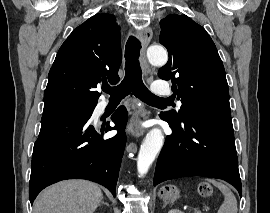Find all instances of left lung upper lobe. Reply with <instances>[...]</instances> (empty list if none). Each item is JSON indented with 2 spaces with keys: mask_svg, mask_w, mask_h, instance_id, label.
<instances>
[{
  "mask_svg": "<svg viewBox=\"0 0 270 213\" xmlns=\"http://www.w3.org/2000/svg\"><path fill=\"white\" fill-rule=\"evenodd\" d=\"M160 24L159 41L169 60L158 76L172 80V90L182 102L178 114H163L176 122L193 115L231 117L224 66L206 30L186 15H168Z\"/></svg>",
  "mask_w": 270,
  "mask_h": 213,
  "instance_id": "obj_1",
  "label": "left lung upper lobe"
}]
</instances>
